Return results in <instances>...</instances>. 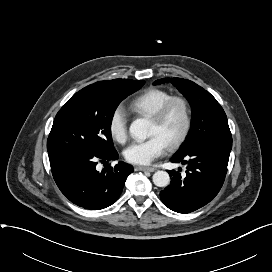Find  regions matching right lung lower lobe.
<instances>
[{"label": "right lung lower lobe", "instance_id": "right-lung-lower-lobe-1", "mask_svg": "<svg viewBox=\"0 0 272 272\" xmlns=\"http://www.w3.org/2000/svg\"><path fill=\"white\" fill-rule=\"evenodd\" d=\"M118 159L117 151L110 154L72 152L50 160L53 178L61 192L72 203L100 210L112 205L120 196L133 167L120 161L114 167L96 170L97 161Z\"/></svg>", "mask_w": 272, "mask_h": 272}]
</instances>
